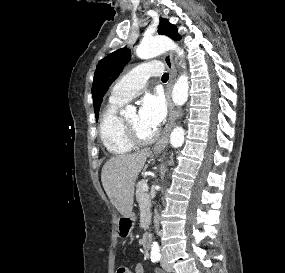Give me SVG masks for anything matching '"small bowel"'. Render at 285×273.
I'll return each instance as SVG.
<instances>
[{"mask_svg":"<svg viewBox=\"0 0 285 273\" xmlns=\"http://www.w3.org/2000/svg\"><path fill=\"white\" fill-rule=\"evenodd\" d=\"M129 273H145L144 267L141 264H137L133 271H129ZM154 273H162L161 270H155Z\"/></svg>","mask_w":285,"mask_h":273,"instance_id":"1","label":"small bowel"}]
</instances>
